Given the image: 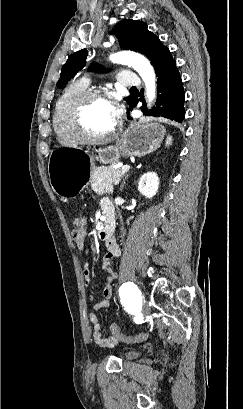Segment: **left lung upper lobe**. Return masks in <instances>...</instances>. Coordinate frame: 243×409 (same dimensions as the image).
Returning a JSON list of instances; mask_svg holds the SVG:
<instances>
[{
    "mask_svg": "<svg viewBox=\"0 0 243 409\" xmlns=\"http://www.w3.org/2000/svg\"><path fill=\"white\" fill-rule=\"evenodd\" d=\"M119 41L120 47L144 54L153 65L155 72L169 64L173 59L169 49L162 44L160 39L147 29V24L137 20H122L111 31ZM88 51L82 49L72 54L62 67L58 86H64L86 65ZM89 71L103 72L98 63L93 62ZM135 97L129 96L125 100L131 107Z\"/></svg>",
    "mask_w": 243,
    "mask_h": 409,
    "instance_id": "5c2ea615",
    "label": "left lung upper lobe"
}]
</instances>
